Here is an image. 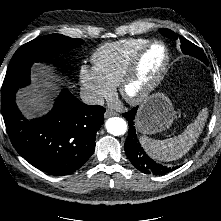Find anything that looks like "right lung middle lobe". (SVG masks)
Here are the masks:
<instances>
[{
  "mask_svg": "<svg viewBox=\"0 0 221 221\" xmlns=\"http://www.w3.org/2000/svg\"><path fill=\"white\" fill-rule=\"evenodd\" d=\"M83 44L61 34L38 37L21 46L12 57L2 85V91L19 88L30 83V68L35 62L51 60L59 52H68Z\"/></svg>",
  "mask_w": 221,
  "mask_h": 221,
  "instance_id": "1",
  "label": "right lung middle lobe"
}]
</instances>
